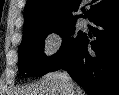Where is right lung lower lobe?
Returning <instances> with one entry per match:
<instances>
[{
	"instance_id": "right-lung-lower-lobe-1",
	"label": "right lung lower lobe",
	"mask_w": 119,
	"mask_h": 95,
	"mask_svg": "<svg viewBox=\"0 0 119 95\" xmlns=\"http://www.w3.org/2000/svg\"><path fill=\"white\" fill-rule=\"evenodd\" d=\"M89 26L96 37L88 49L86 34L50 70L64 69L89 95H119V11Z\"/></svg>"
}]
</instances>
